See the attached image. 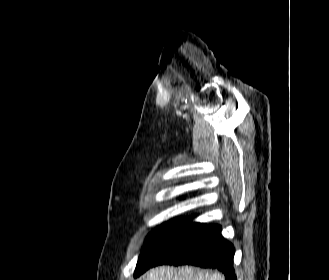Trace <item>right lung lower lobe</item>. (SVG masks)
Masks as SVG:
<instances>
[{"label": "right lung lower lobe", "mask_w": 329, "mask_h": 280, "mask_svg": "<svg viewBox=\"0 0 329 280\" xmlns=\"http://www.w3.org/2000/svg\"><path fill=\"white\" fill-rule=\"evenodd\" d=\"M233 256L234 247L222 237L219 225L193 222L147 269L162 264L176 266L191 264L205 268H217L224 273L226 280H236L232 267Z\"/></svg>", "instance_id": "98d812e1"}]
</instances>
